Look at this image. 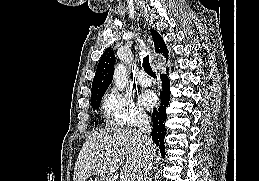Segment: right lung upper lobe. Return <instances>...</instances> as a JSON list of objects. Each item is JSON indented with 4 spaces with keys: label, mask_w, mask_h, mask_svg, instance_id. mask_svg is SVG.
<instances>
[{
    "label": "right lung upper lobe",
    "mask_w": 259,
    "mask_h": 181,
    "mask_svg": "<svg viewBox=\"0 0 259 181\" xmlns=\"http://www.w3.org/2000/svg\"><path fill=\"white\" fill-rule=\"evenodd\" d=\"M151 35L154 41L155 51L157 53H162L168 59V49L165 45L163 38L155 30H151ZM114 61L115 57L113 49L109 47L105 50L101 59L99 60L95 77L92 83V98L104 94L109 87L113 79Z\"/></svg>",
    "instance_id": "1"
}]
</instances>
